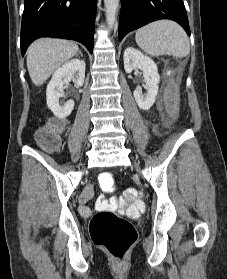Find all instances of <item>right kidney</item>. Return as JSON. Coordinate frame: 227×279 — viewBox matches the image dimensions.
<instances>
[{"mask_svg":"<svg viewBox=\"0 0 227 279\" xmlns=\"http://www.w3.org/2000/svg\"><path fill=\"white\" fill-rule=\"evenodd\" d=\"M85 67L86 64L83 60L72 59L54 72L52 79L47 85L46 99L48 108L56 117L64 119L71 114L74 108V101L69 100L61 105L59 98L64 96V84L69 81L72 80L78 87L83 85Z\"/></svg>","mask_w":227,"mask_h":279,"instance_id":"obj_1","label":"right kidney"}]
</instances>
